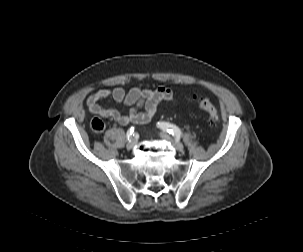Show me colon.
<instances>
[{
    "label": "colon",
    "instance_id": "1",
    "mask_svg": "<svg viewBox=\"0 0 303 252\" xmlns=\"http://www.w3.org/2000/svg\"><path fill=\"white\" fill-rule=\"evenodd\" d=\"M199 108L209 117L212 125H215L219 121V112L213 103L204 98L196 99ZM91 129L95 133H101L105 129V124L102 120L94 118L91 121Z\"/></svg>",
    "mask_w": 303,
    "mask_h": 252
}]
</instances>
